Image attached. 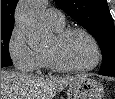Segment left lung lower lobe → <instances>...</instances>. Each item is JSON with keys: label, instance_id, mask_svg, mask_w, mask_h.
Returning <instances> with one entry per match:
<instances>
[{"label": "left lung lower lobe", "instance_id": "obj_1", "mask_svg": "<svg viewBox=\"0 0 115 99\" xmlns=\"http://www.w3.org/2000/svg\"><path fill=\"white\" fill-rule=\"evenodd\" d=\"M106 76H115V74H111V75H106Z\"/></svg>", "mask_w": 115, "mask_h": 99}]
</instances>
